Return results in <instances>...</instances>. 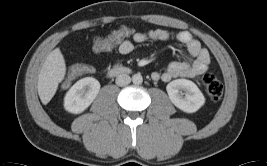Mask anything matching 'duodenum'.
I'll return each instance as SVG.
<instances>
[{
	"instance_id": "410a0bca",
	"label": "duodenum",
	"mask_w": 267,
	"mask_h": 166,
	"mask_svg": "<svg viewBox=\"0 0 267 166\" xmlns=\"http://www.w3.org/2000/svg\"><path fill=\"white\" fill-rule=\"evenodd\" d=\"M129 69L123 66H115L113 68H111L108 71V75L112 76V75H120V74H125L128 73Z\"/></svg>"
}]
</instances>
